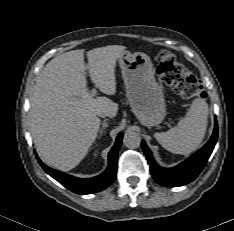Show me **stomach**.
Here are the masks:
<instances>
[{"label":"stomach","mask_w":234,"mask_h":231,"mask_svg":"<svg viewBox=\"0 0 234 231\" xmlns=\"http://www.w3.org/2000/svg\"><path fill=\"white\" fill-rule=\"evenodd\" d=\"M118 62L132 112L145 126L160 124L167 113L166 103L150 57L142 52L123 51Z\"/></svg>","instance_id":"stomach-1"}]
</instances>
